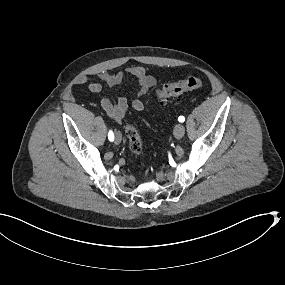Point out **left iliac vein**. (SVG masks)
<instances>
[{
	"mask_svg": "<svg viewBox=\"0 0 285 285\" xmlns=\"http://www.w3.org/2000/svg\"><path fill=\"white\" fill-rule=\"evenodd\" d=\"M184 134H185V127L182 124H177L174 127V136L177 139H180L184 136Z\"/></svg>",
	"mask_w": 285,
	"mask_h": 285,
	"instance_id": "obj_1",
	"label": "left iliac vein"
}]
</instances>
